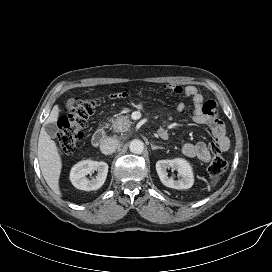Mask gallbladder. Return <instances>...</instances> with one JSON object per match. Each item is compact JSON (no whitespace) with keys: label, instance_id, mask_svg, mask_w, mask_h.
Wrapping results in <instances>:
<instances>
[{"label":"gallbladder","instance_id":"1","mask_svg":"<svg viewBox=\"0 0 272 272\" xmlns=\"http://www.w3.org/2000/svg\"><path fill=\"white\" fill-rule=\"evenodd\" d=\"M45 131L51 138H56L59 129L55 123H48L45 125Z\"/></svg>","mask_w":272,"mask_h":272}]
</instances>
